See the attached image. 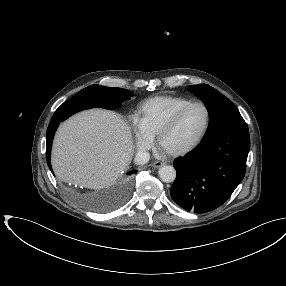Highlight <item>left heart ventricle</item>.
<instances>
[{
    "label": "left heart ventricle",
    "instance_id": "obj_1",
    "mask_svg": "<svg viewBox=\"0 0 286 286\" xmlns=\"http://www.w3.org/2000/svg\"><path fill=\"white\" fill-rule=\"evenodd\" d=\"M206 114L201 106L191 107L163 139V147L174 151L191 145L201 134Z\"/></svg>",
    "mask_w": 286,
    "mask_h": 286
}]
</instances>
